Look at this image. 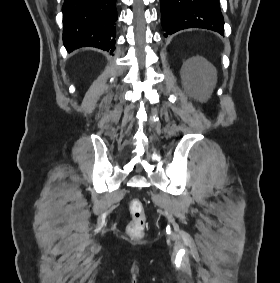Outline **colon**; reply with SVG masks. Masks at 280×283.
I'll return each instance as SVG.
<instances>
[{"mask_svg": "<svg viewBox=\"0 0 280 283\" xmlns=\"http://www.w3.org/2000/svg\"><path fill=\"white\" fill-rule=\"evenodd\" d=\"M131 220L127 225V233L129 236L139 238L142 236L146 226V215L143 203L134 199L129 204Z\"/></svg>", "mask_w": 280, "mask_h": 283, "instance_id": "obj_1", "label": "colon"}]
</instances>
